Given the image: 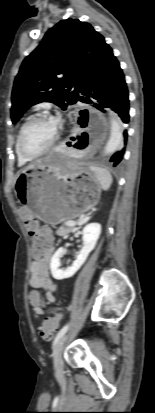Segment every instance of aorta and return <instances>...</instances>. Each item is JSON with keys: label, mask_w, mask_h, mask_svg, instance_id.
I'll return each instance as SVG.
<instances>
[{"label": "aorta", "mask_w": 155, "mask_h": 413, "mask_svg": "<svg viewBox=\"0 0 155 413\" xmlns=\"http://www.w3.org/2000/svg\"><path fill=\"white\" fill-rule=\"evenodd\" d=\"M123 143V128L120 118L110 114V136L105 146V154L114 153Z\"/></svg>", "instance_id": "obj_1"}]
</instances>
